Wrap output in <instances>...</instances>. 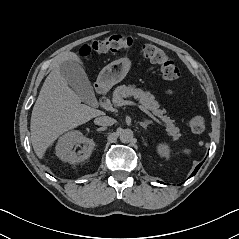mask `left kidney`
Here are the masks:
<instances>
[{
    "label": "left kidney",
    "mask_w": 239,
    "mask_h": 239,
    "mask_svg": "<svg viewBox=\"0 0 239 239\" xmlns=\"http://www.w3.org/2000/svg\"><path fill=\"white\" fill-rule=\"evenodd\" d=\"M157 152L161 157H164V158H169V156H170V148H169L168 144H166V143L158 144Z\"/></svg>",
    "instance_id": "5707ae66"
}]
</instances>
